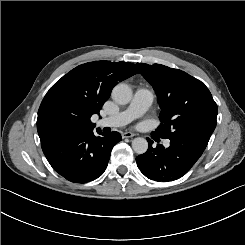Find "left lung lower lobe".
<instances>
[{
    "mask_svg": "<svg viewBox=\"0 0 245 245\" xmlns=\"http://www.w3.org/2000/svg\"><path fill=\"white\" fill-rule=\"evenodd\" d=\"M147 140L149 148L136 157L137 166L147 178L159 182L174 181L184 176L206 148L179 139H170L168 148L160 144L153 148V141Z\"/></svg>",
    "mask_w": 245,
    "mask_h": 245,
    "instance_id": "1",
    "label": "left lung lower lobe"
}]
</instances>
